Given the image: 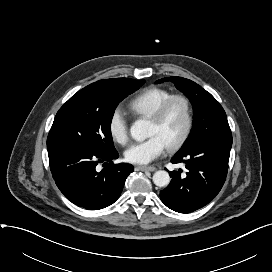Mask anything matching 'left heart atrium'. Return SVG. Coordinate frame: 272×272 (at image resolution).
<instances>
[{
	"mask_svg": "<svg viewBox=\"0 0 272 272\" xmlns=\"http://www.w3.org/2000/svg\"><path fill=\"white\" fill-rule=\"evenodd\" d=\"M167 147L159 135H151L145 141L131 145L125 151V159L133 164H148L161 156Z\"/></svg>",
	"mask_w": 272,
	"mask_h": 272,
	"instance_id": "1",
	"label": "left heart atrium"
}]
</instances>
